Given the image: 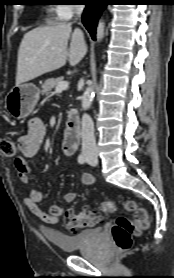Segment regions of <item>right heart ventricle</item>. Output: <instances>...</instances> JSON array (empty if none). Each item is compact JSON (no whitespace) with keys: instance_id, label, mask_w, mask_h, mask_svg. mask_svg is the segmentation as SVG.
I'll list each match as a JSON object with an SVG mask.
<instances>
[{"instance_id":"1","label":"right heart ventricle","mask_w":174,"mask_h":278,"mask_svg":"<svg viewBox=\"0 0 174 278\" xmlns=\"http://www.w3.org/2000/svg\"><path fill=\"white\" fill-rule=\"evenodd\" d=\"M56 10V9H55ZM54 11V8H50L49 12L52 13Z\"/></svg>"}]
</instances>
